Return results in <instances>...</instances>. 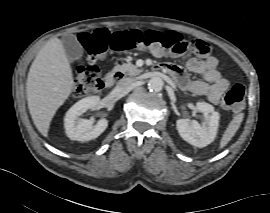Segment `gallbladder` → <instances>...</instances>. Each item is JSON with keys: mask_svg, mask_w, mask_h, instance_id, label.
<instances>
[{"mask_svg": "<svg viewBox=\"0 0 270 213\" xmlns=\"http://www.w3.org/2000/svg\"><path fill=\"white\" fill-rule=\"evenodd\" d=\"M62 44L67 56L71 60L79 59L83 55L82 45L75 35L68 34L62 37Z\"/></svg>", "mask_w": 270, "mask_h": 213, "instance_id": "obj_1", "label": "gallbladder"}]
</instances>
